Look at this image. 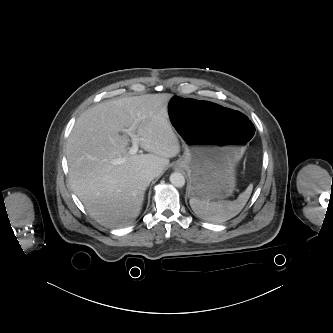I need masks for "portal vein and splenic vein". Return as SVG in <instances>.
Masks as SVG:
<instances>
[{
	"mask_svg": "<svg viewBox=\"0 0 333 333\" xmlns=\"http://www.w3.org/2000/svg\"><path fill=\"white\" fill-rule=\"evenodd\" d=\"M122 131H123L124 133L128 134V135L131 137V139H132V147L129 149L128 153H129L130 155H134V154H136L137 151H138V148H139V146H138V145H139V142H140V141H147V140L144 139V138H138L137 135H135V134L132 132V130H131L130 128H124V129H122ZM125 160H126V159H125L124 157H119V158H117V159H114V160L112 161V163H113L114 165H120V164L124 163Z\"/></svg>",
	"mask_w": 333,
	"mask_h": 333,
	"instance_id": "obj_1",
	"label": "portal vein and splenic vein"
}]
</instances>
